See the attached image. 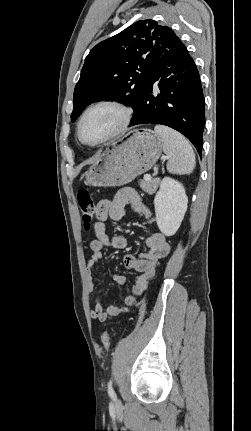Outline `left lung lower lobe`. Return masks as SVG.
<instances>
[{"instance_id": "0a47b994", "label": "left lung lower lobe", "mask_w": 251, "mask_h": 431, "mask_svg": "<svg viewBox=\"0 0 251 431\" xmlns=\"http://www.w3.org/2000/svg\"><path fill=\"white\" fill-rule=\"evenodd\" d=\"M158 86L155 92L153 86ZM154 123L186 136L201 155L205 99L197 67L174 34L153 57L139 106L130 126Z\"/></svg>"}]
</instances>
